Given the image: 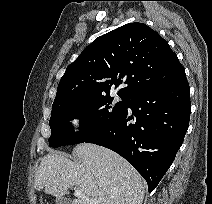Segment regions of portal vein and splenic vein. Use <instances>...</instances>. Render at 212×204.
<instances>
[{
	"label": "portal vein and splenic vein",
	"mask_w": 212,
	"mask_h": 204,
	"mask_svg": "<svg viewBox=\"0 0 212 204\" xmlns=\"http://www.w3.org/2000/svg\"><path fill=\"white\" fill-rule=\"evenodd\" d=\"M75 195H76L78 198H84V196H83V190L80 189V188L75 189Z\"/></svg>",
	"instance_id": "18ae733b"
}]
</instances>
